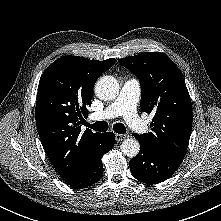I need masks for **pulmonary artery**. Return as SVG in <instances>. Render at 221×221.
Segmentation results:
<instances>
[{"label":"pulmonary artery","mask_w":221,"mask_h":221,"mask_svg":"<svg viewBox=\"0 0 221 221\" xmlns=\"http://www.w3.org/2000/svg\"><path fill=\"white\" fill-rule=\"evenodd\" d=\"M140 95L141 86L139 80L135 77H128L122 85L117 98L109 103L102 111L92 114L89 117V122L112 119L121 115L133 130L145 133L147 125L137 114Z\"/></svg>","instance_id":"obj_1"}]
</instances>
